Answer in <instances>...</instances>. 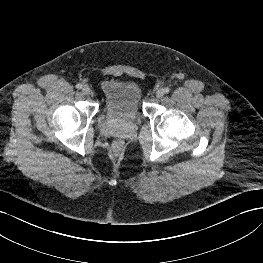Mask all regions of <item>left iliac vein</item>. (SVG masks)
Masks as SVG:
<instances>
[{"label":"left iliac vein","mask_w":263,"mask_h":263,"mask_svg":"<svg viewBox=\"0 0 263 263\" xmlns=\"http://www.w3.org/2000/svg\"><path fill=\"white\" fill-rule=\"evenodd\" d=\"M164 96V90L163 89H159L157 92H156V97L157 98H162Z\"/></svg>","instance_id":"obj_1"}]
</instances>
